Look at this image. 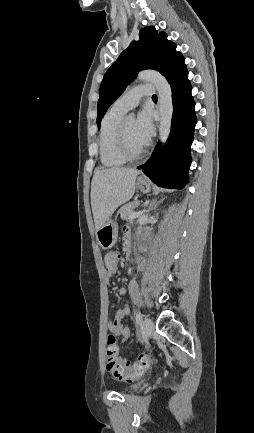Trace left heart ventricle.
<instances>
[{"mask_svg":"<svg viewBox=\"0 0 254 433\" xmlns=\"http://www.w3.org/2000/svg\"><path fill=\"white\" fill-rule=\"evenodd\" d=\"M124 131L128 146L131 150L138 151L146 145L138 138L135 132V122L133 120L124 121Z\"/></svg>","mask_w":254,"mask_h":433,"instance_id":"obj_1","label":"left heart ventricle"}]
</instances>
